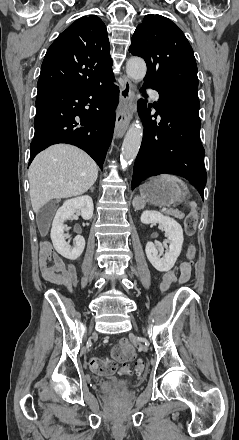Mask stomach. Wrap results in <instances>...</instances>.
Segmentation results:
<instances>
[{"mask_svg": "<svg viewBox=\"0 0 239 440\" xmlns=\"http://www.w3.org/2000/svg\"><path fill=\"white\" fill-rule=\"evenodd\" d=\"M181 188L175 182H167L161 176L150 178V182L140 186L141 202H148L153 206H171L179 202Z\"/></svg>", "mask_w": 239, "mask_h": 440, "instance_id": "stomach-1", "label": "stomach"}]
</instances>
